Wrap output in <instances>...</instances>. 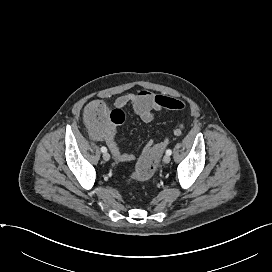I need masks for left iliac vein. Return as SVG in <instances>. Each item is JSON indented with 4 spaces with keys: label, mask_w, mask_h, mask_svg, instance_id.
<instances>
[{
    "label": "left iliac vein",
    "mask_w": 272,
    "mask_h": 272,
    "mask_svg": "<svg viewBox=\"0 0 272 272\" xmlns=\"http://www.w3.org/2000/svg\"><path fill=\"white\" fill-rule=\"evenodd\" d=\"M170 160H171L170 155H167V154H166V155L164 156V158H163V161H164V163H166V164L169 163Z\"/></svg>",
    "instance_id": "obj_1"
}]
</instances>
